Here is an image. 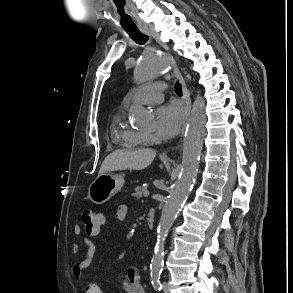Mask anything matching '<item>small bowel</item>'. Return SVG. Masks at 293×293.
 I'll return each mask as SVG.
<instances>
[{"label": "small bowel", "instance_id": "obj_1", "mask_svg": "<svg viewBox=\"0 0 293 293\" xmlns=\"http://www.w3.org/2000/svg\"><path fill=\"white\" fill-rule=\"evenodd\" d=\"M127 213H128V206L126 204H121L118 206L115 212V218L118 221H124L127 217ZM100 216H101V224L95 231H88L85 229L88 236L83 239V242L87 246L88 252L85 258L80 263L76 264L73 267V274L77 279H82L83 271L92 264V261L95 255V243L91 237L97 236L100 233L101 226H103L106 222L105 215L100 212ZM81 232H82L81 227L79 225H76L74 227V233L76 235H80ZM78 251H79V246L77 244H74L72 246L73 254H77ZM141 281H142L141 273L136 268H130L126 271L125 274L119 275V282L123 285L125 293H145V289ZM93 288H98L100 290V293H102L101 289L93 282H87L84 285L85 293H93L92 292Z\"/></svg>", "mask_w": 293, "mask_h": 293}]
</instances>
